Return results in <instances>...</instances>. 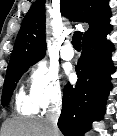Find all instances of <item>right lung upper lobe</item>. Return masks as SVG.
<instances>
[{"instance_id":"cb5924a9","label":"right lung upper lobe","mask_w":117,"mask_h":136,"mask_svg":"<svg viewBox=\"0 0 117 136\" xmlns=\"http://www.w3.org/2000/svg\"><path fill=\"white\" fill-rule=\"evenodd\" d=\"M107 1L60 0V10L73 21L89 24V29L83 35L85 39L110 25L111 12ZM45 53V0H37L22 21L9 65L22 60L43 58Z\"/></svg>"}]
</instances>
